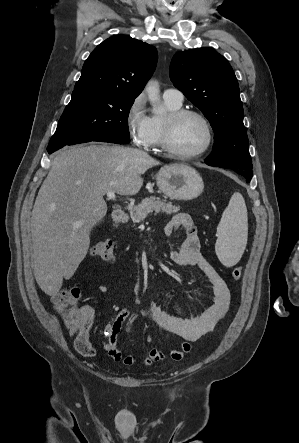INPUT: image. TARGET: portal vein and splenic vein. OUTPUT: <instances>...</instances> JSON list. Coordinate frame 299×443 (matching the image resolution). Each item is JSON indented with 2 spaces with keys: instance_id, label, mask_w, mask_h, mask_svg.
Segmentation results:
<instances>
[{
  "instance_id": "1",
  "label": "portal vein and splenic vein",
  "mask_w": 299,
  "mask_h": 443,
  "mask_svg": "<svg viewBox=\"0 0 299 443\" xmlns=\"http://www.w3.org/2000/svg\"><path fill=\"white\" fill-rule=\"evenodd\" d=\"M106 194L107 197H109L112 200H115V193L113 191H107Z\"/></svg>"
}]
</instances>
